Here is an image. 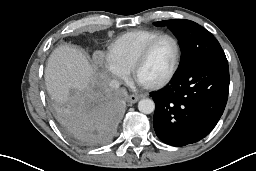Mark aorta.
I'll list each match as a JSON object with an SVG mask.
<instances>
[{
    "label": "aorta",
    "mask_w": 256,
    "mask_h": 171,
    "mask_svg": "<svg viewBox=\"0 0 256 171\" xmlns=\"http://www.w3.org/2000/svg\"><path fill=\"white\" fill-rule=\"evenodd\" d=\"M138 109L143 114H150L155 110V103L149 98H145L139 101Z\"/></svg>",
    "instance_id": "762f6f07"
}]
</instances>
